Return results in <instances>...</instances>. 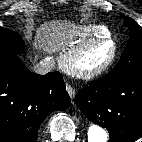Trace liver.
Listing matches in <instances>:
<instances>
[{"label": "liver", "instance_id": "liver-1", "mask_svg": "<svg viewBox=\"0 0 142 142\" xmlns=\"http://www.w3.org/2000/svg\"><path fill=\"white\" fill-rule=\"evenodd\" d=\"M74 25L66 21H52L37 30L36 45L45 53L51 54L70 44L68 33Z\"/></svg>", "mask_w": 142, "mask_h": 142}]
</instances>
